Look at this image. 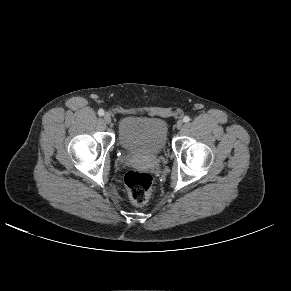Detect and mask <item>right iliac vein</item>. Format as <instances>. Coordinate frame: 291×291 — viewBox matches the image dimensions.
I'll return each instance as SVG.
<instances>
[{
	"label": "right iliac vein",
	"mask_w": 291,
	"mask_h": 291,
	"mask_svg": "<svg viewBox=\"0 0 291 291\" xmlns=\"http://www.w3.org/2000/svg\"><path fill=\"white\" fill-rule=\"evenodd\" d=\"M103 120L106 124H109L111 122V116L109 113H106L103 117Z\"/></svg>",
	"instance_id": "63e3f726"
}]
</instances>
